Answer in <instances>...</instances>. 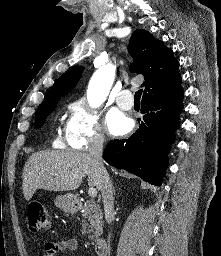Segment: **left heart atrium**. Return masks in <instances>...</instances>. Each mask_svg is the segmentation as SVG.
Here are the masks:
<instances>
[{"label": "left heart atrium", "instance_id": "left-heart-atrium-1", "mask_svg": "<svg viewBox=\"0 0 221 256\" xmlns=\"http://www.w3.org/2000/svg\"><path fill=\"white\" fill-rule=\"evenodd\" d=\"M108 132L112 135H121L129 131L131 127L130 119L118 110H110L105 118Z\"/></svg>", "mask_w": 221, "mask_h": 256}]
</instances>
